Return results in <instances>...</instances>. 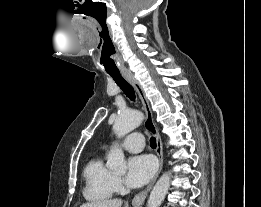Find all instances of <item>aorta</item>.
Segmentation results:
<instances>
[{
    "label": "aorta",
    "instance_id": "aorta-1",
    "mask_svg": "<svg viewBox=\"0 0 261 207\" xmlns=\"http://www.w3.org/2000/svg\"><path fill=\"white\" fill-rule=\"evenodd\" d=\"M144 116L139 111L121 112L113 125V131L121 138L137 128L143 121ZM107 166L113 170L123 171L126 168L125 156L122 149H115L107 156ZM171 174L164 173L153 187L147 207H159L164 200L170 187Z\"/></svg>",
    "mask_w": 261,
    "mask_h": 207
}]
</instances>
